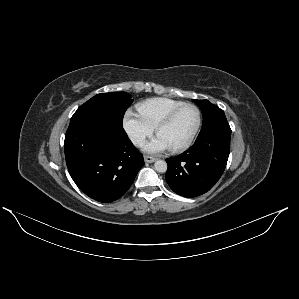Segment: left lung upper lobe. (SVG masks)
Returning a JSON list of instances; mask_svg holds the SVG:
<instances>
[{
	"instance_id": "obj_1",
	"label": "left lung upper lobe",
	"mask_w": 299,
	"mask_h": 299,
	"mask_svg": "<svg viewBox=\"0 0 299 299\" xmlns=\"http://www.w3.org/2000/svg\"><path fill=\"white\" fill-rule=\"evenodd\" d=\"M194 102L200 107L203 113V125L201 132L218 124H227L224 111L218 106L210 103L208 100H196Z\"/></svg>"
}]
</instances>
